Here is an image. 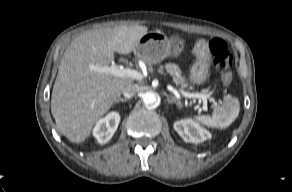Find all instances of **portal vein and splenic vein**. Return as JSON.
Returning a JSON list of instances; mask_svg holds the SVG:
<instances>
[{
  "instance_id": "1",
  "label": "portal vein and splenic vein",
  "mask_w": 292,
  "mask_h": 192,
  "mask_svg": "<svg viewBox=\"0 0 292 192\" xmlns=\"http://www.w3.org/2000/svg\"><path fill=\"white\" fill-rule=\"evenodd\" d=\"M94 70L100 73H109L115 77H127L133 80H141L143 75L134 69L130 68H123L117 64L112 63L110 66H103V67H94ZM180 93L186 98H199L201 99L204 104L207 103L208 95L203 93H189L184 90H180Z\"/></svg>"
}]
</instances>
